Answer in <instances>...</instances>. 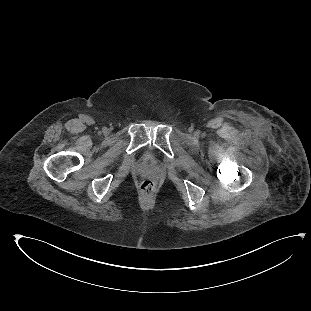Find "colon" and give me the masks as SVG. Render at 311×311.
I'll list each match as a JSON object with an SVG mask.
<instances>
[{
    "label": "colon",
    "instance_id": "1",
    "mask_svg": "<svg viewBox=\"0 0 311 311\" xmlns=\"http://www.w3.org/2000/svg\"><path fill=\"white\" fill-rule=\"evenodd\" d=\"M143 193L149 194L156 190V183L153 180H146L140 184Z\"/></svg>",
    "mask_w": 311,
    "mask_h": 311
}]
</instances>
